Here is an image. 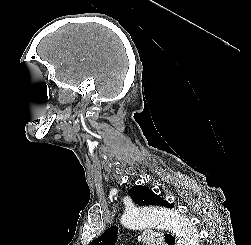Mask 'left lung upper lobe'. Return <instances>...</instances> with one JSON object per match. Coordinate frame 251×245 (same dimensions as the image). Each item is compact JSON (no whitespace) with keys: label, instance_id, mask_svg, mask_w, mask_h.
Segmentation results:
<instances>
[{"label":"left lung upper lobe","instance_id":"1","mask_svg":"<svg viewBox=\"0 0 251 245\" xmlns=\"http://www.w3.org/2000/svg\"><path fill=\"white\" fill-rule=\"evenodd\" d=\"M129 196L139 206L157 205L166 208H173V205L160 198L159 195L152 192L144 186H134L129 190ZM118 231L116 227L108 228L104 234L95 239L90 245H115L117 241Z\"/></svg>","mask_w":251,"mask_h":245}]
</instances>
